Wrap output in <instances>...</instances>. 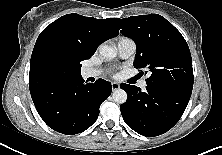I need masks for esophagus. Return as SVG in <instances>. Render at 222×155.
I'll list each match as a JSON object with an SVG mask.
<instances>
[{
	"instance_id": "obj_1",
	"label": "esophagus",
	"mask_w": 222,
	"mask_h": 155,
	"mask_svg": "<svg viewBox=\"0 0 222 155\" xmlns=\"http://www.w3.org/2000/svg\"><path fill=\"white\" fill-rule=\"evenodd\" d=\"M111 85H112V90L114 91L120 88V84L117 82H112Z\"/></svg>"
}]
</instances>
